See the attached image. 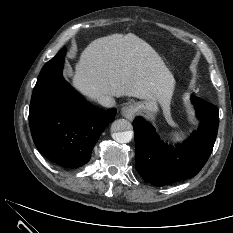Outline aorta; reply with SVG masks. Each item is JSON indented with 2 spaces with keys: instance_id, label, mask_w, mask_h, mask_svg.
I'll use <instances>...</instances> for the list:
<instances>
[{
  "instance_id": "obj_1",
  "label": "aorta",
  "mask_w": 233,
  "mask_h": 233,
  "mask_svg": "<svg viewBox=\"0 0 233 233\" xmlns=\"http://www.w3.org/2000/svg\"><path fill=\"white\" fill-rule=\"evenodd\" d=\"M132 125L125 119H117L111 125L112 138L118 143H128L133 138Z\"/></svg>"
}]
</instances>
